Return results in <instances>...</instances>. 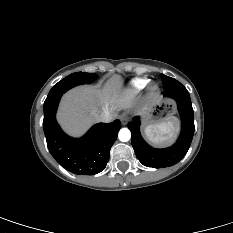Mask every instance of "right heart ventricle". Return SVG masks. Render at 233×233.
Instances as JSON below:
<instances>
[{
  "instance_id": "obj_1",
  "label": "right heart ventricle",
  "mask_w": 233,
  "mask_h": 233,
  "mask_svg": "<svg viewBox=\"0 0 233 233\" xmlns=\"http://www.w3.org/2000/svg\"><path fill=\"white\" fill-rule=\"evenodd\" d=\"M147 84H148V80H146V79H139V80H136L133 83V87H134V89L136 91H140V90L144 89Z\"/></svg>"
}]
</instances>
